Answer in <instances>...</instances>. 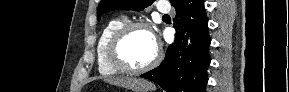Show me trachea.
I'll return each instance as SVG.
<instances>
[{
  "mask_svg": "<svg viewBox=\"0 0 289 92\" xmlns=\"http://www.w3.org/2000/svg\"><path fill=\"white\" fill-rule=\"evenodd\" d=\"M163 17H169V15L165 14V15H163Z\"/></svg>",
  "mask_w": 289,
  "mask_h": 92,
  "instance_id": "trachea-1",
  "label": "trachea"
}]
</instances>
